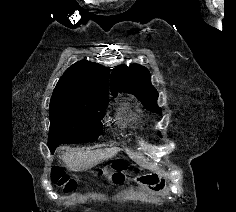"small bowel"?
I'll return each instance as SVG.
<instances>
[{"label":"small bowel","instance_id":"small-bowel-1","mask_svg":"<svg viewBox=\"0 0 236 212\" xmlns=\"http://www.w3.org/2000/svg\"><path fill=\"white\" fill-rule=\"evenodd\" d=\"M118 180H122V183H128V180H131V184H139L141 180L149 189L155 191L164 188L163 181L153 175H118ZM122 183H118V186H122ZM116 191H121V188H116ZM116 191H112V194H116ZM125 191H133V188H125ZM124 198H134V193H124Z\"/></svg>","mask_w":236,"mask_h":212}]
</instances>
